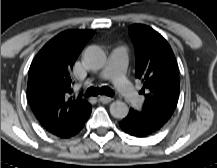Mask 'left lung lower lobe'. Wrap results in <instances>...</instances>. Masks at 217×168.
Returning a JSON list of instances; mask_svg holds the SVG:
<instances>
[{"label":"left lung lower lobe","mask_w":217,"mask_h":168,"mask_svg":"<svg viewBox=\"0 0 217 168\" xmlns=\"http://www.w3.org/2000/svg\"><path fill=\"white\" fill-rule=\"evenodd\" d=\"M167 122L140 111L130 110L129 114L119 122L121 129L135 137H146L161 130Z\"/></svg>","instance_id":"left-lung-lower-lobe-1"}]
</instances>
